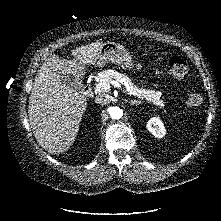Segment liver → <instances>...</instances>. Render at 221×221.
Instances as JSON below:
<instances>
[{"label": "liver", "instance_id": "1", "mask_svg": "<svg viewBox=\"0 0 221 221\" xmlns=\"http://www.w3.org/2000/svg\"><path fill=\"white\" fill-rule=\"evenodd\" d=\"M102 46L94 42L77 47L72 60L53 54L37 72L29 97V121L38 144L50 154L64 153L73 145L87 108L86 97L59 77L80 75L84 65H95Z\"/></svg>", "mask_w": 221, "mask_h": 221}]
</instances>
